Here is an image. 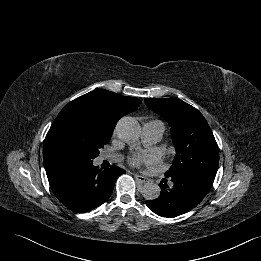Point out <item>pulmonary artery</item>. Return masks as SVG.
<instances>
[{
    "label": "pulmonary artery",
    "mask_w": 261,
    "mask_h": 261,
    "mask_svg": "<svg viewBox=\"0 0 261 261\" xmlns=\"http://www.w3.org/2000/svg\"><path fill=\"white\" fill-rule=\"evenodd\" d=\"M164 131V126L160 121H149L143 125L142 128V140L146 145H153L157 143ZM101 160H117V156L114 155H103L100 158Z\"/></svg>",
    "instance_id": "pulmonary-artery-1"
}]
</instances>
